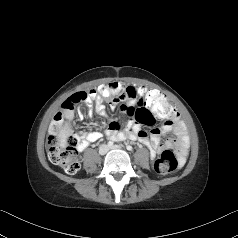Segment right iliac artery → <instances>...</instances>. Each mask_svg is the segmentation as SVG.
<instances>
[{
  "mask_svg": "<svg viewBox=\"0 0 238 238\" xmlns=\"http://www.w3.org/2000/svg\"><path fill=\"white\" fill-rule=\"evenodd\" d=\"M107 144L109 147H111V146H113L114 143H113V141H109Z\"/></svg>",
  "mask_w": 238,
  "mask_h": 238,
  "instance_id": "obj_1",
  "label": "right iliac artery"
}]
</instances>
